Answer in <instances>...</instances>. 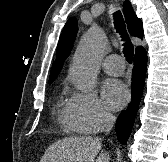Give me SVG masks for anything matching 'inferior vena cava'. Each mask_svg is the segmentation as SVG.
I'll return each instance as SVG.
<instances>
[{
  "mask_svg": "<svg viewBox=\"0 0 168 162\" xmlns=\"http://www.w3.org/2000/svg\"><path fill=\"white\" fill-rule=\"evenodd\" d=\"M116 121V117L111 113H105L103 115V130L106 134H108L114 126Z\"/></svg>",
  "mask_w": 168,
  "mask_h": 162,
  "instance_id": "602c4592",
  "label": "inferior vena cava"
}]
</instances>
